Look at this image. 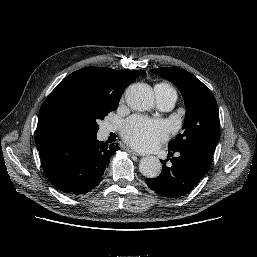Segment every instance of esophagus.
<instances>
[{
	"label": "esophagus",
	"mask_w": 257,
	"mask_h": 257,
	"mask_svg": "<svg viewBox=\"0 0 257 257\" xmlns=\"http://www.w3.org/2000/svg\"><path fill=\"white\" fill-rule=\"evenodd\" d=\"M126 150L130 155L140 156V154L134 151L133 149L128 148Z\"/></svg>",
	"instance_id": "34e87169"
}]
</instances>
